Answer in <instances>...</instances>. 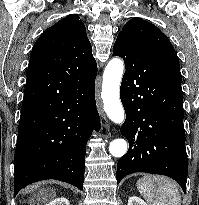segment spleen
<instances>
[{
	"mask_svg": "<svg viewBox=\"0 0 199 205\" xmlns=\"http://www.w3.org/2000/svg\"><path fill=\"white\" fill-rule=\"evenodd\" d=\"M136 185L148 205H181L178 186L164 176L145 175Z\"/></svg>",
	"mask_w": 199,
	"mask_h": 205,
	"instance_id": "1",
	"label": "spleen"
}]
</instances>
